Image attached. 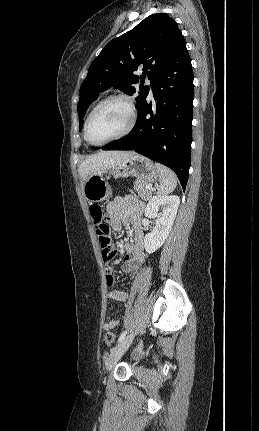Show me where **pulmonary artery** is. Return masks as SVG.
Masks as SVG:
<instances>
[{
	"mask_svg": "<svg viewBox=\"0 0 259 431\" xmlns=\"http://www.w3.org/2000/svg\"><path fill=\"white\" fill-rule=\"evenodd\" d=\"M148 84L151 86V82H150V81H148ZM149 96H150L151 98L153 97V92H152L151 87H150Z\"/></svg>",
	"mask_w": 259,
	"mask_h": 431,
	"instance_id": "e3ab8cb5",
	"label": "pulmonary artery"
}]
</instances>
